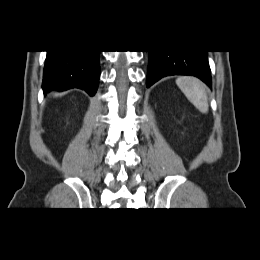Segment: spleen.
<instances>
[{
    "label": "spleen",
    "mask_w": 260,
    "mask_h": 260,
    "mask_svg": "<svg viewBox=\"0 0 260 260\" xmlns=\"http://www.w3.org/2000/svg\"><path fill=\"white\" fill-rule=\"evenodd\" d=\"M176 84L187 99L203 114L209 109L208 97L204 84L194 77H179Z\"/></svg>",
    "instance_id": "obj_1"
}]
</instances>
